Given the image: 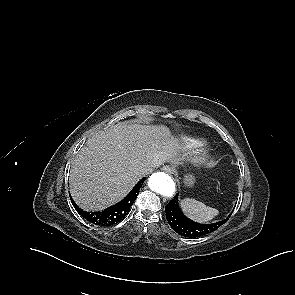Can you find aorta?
I'll return each mask as SVG.
<instances>
[{
	"mask_svg": "<svg viewBox=\"0 0 295 295\" xmlns=\"http://www.w3.org/2000/svg\"><path fill=\"white\" fill-rule=\"evenodd\" d=\"M148 186L152 191L167 197H172L176 191L173 178L164 172L153 173L149 178Z\"/></svg>",
	"mask_w": 295,
	"mask_h": 295,
	"instance_id": "1",
	"label": "aorta"
}]
</instances>
